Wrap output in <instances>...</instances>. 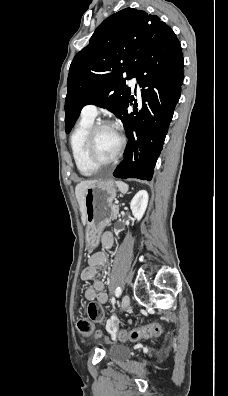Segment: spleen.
I'll use <instances>...</instances> for the list:
<instances>
[{"mask_svg": "<svg viewBox=\"0 0 228 396\" xmlns=\"http://www.w3.org/2000/svg\"><path fill=\"white\" fill-rule=\"evenodd\" d=\"M116 185L122 193L125 194L128 191L129 186L126 183L122 181H116Z\"/></svg>", "mask_w": 228, "mask_h": 396, "instance_id": "1", "label": "spleen"}]
</instances>
